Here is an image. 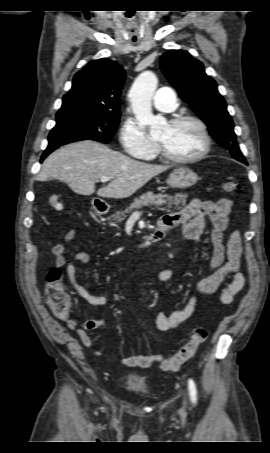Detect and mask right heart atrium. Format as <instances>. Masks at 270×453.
I'll return each instance as SVG.
<instances>
[{
  "mask_svg": "<svg viewBox=\"0 0 270 453\" xmlns=\"http://www.w3.org/2000/svg\"><path fill=\"white\" fill-rule=\"evenodd\" d=\"M119 139L124 152L136 158H147L153 155L157 148L155 142L151 141L132 119L123 122Z\"/></svg>",
  "mask_w": 270,
  "mask_h": 453,
  "instance_id": "1",
  "label": "right heart atrium"
}]
</instances>
